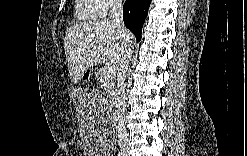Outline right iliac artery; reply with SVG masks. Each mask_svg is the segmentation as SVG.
<instances>
[{"mask_svg": "<svg viewBox=\"0 0 247 156\" xmlns=\"http://www.w3.org/2000/svg\"><path fill=\"white\" fill-rule=\"evenodd\" d=\"M121 155H122V153L119 152V153H118V156H121Z\"/></svg>", "mask_w": 247, "mask_h": 156, "instance_id": "obj_1", "label": "right iliac artery"}]
</instances>
